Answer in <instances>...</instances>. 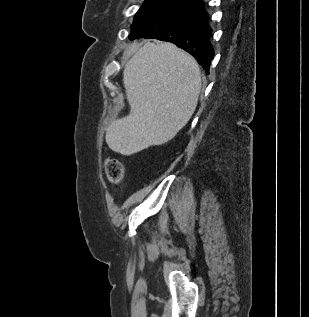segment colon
I'll return each instance as SVG.
<instances>
[{"label":"colon","instance_id":"5ec220e1","mask_svg":"<svg viewBox=\"0 0 309 317\" xmlns=\"http://www.w3.org/2000/svg\"><path fill=\"white\" fill-rule=\"evenodd\" d=\"M105 170L108 179L112 183H119L124 175V169L120 162L116 160H107Z\"/></svg>","mask_w":309,"mask_h":317}]
</instances>
